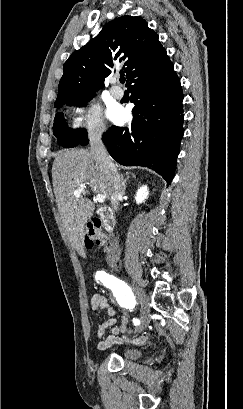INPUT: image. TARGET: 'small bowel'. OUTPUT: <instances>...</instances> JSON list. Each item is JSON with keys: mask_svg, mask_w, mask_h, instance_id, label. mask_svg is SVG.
Instances as JSON below:
<instances>
[{"mask_svg": "<svg viewBox=\"0 0 243 409\" xmlns=\"http://www.w3.org/2000/svg\"><path fill=\"white\" fill-rule=\"evenodd\" d=\"M91 308L95 314H100L105 310L109 315V318L105 322L99 324L97 328L99 350H106L114 345L126 342L141 345L150 339L149 335H142L135 339L129 340L125 335V332L128 330L127 315L123 314L121 324L117 325L116 311L105 295L99 293L94 294L91 299Z\"/></svg>", "mask_w": 243, "mask_h": 409, "instance_id": "obj_1", "label": "small bowel"}]
</instances>
